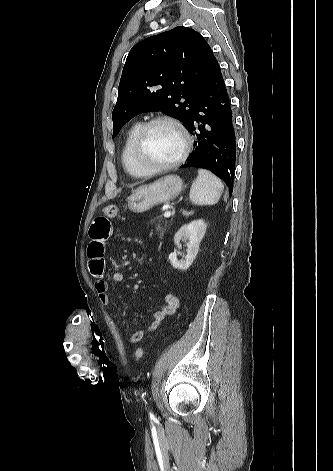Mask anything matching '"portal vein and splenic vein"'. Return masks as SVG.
Here are the masks:
<instances>
[{
    "mask_svg": "<svg viewBox=\"0 0 333 471\" xmlns=\"http://www.w3.org/2000/svg\"><path fill=\"white\" fill-rule=\"evenodd\" d=\"M163 216H164L165 218H168V217L171 216V212H165V213L163 214Z\"/></svg>",
    "mask_w": 333,
    "mask_h": 471,
    "instance_id": "1",
    "label": "portal vein and splenic vein"
}]
</instances>
